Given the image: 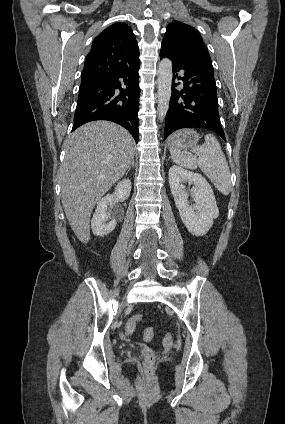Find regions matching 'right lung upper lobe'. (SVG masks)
I'll return each mask as SVG.
<instances>
[{
  "label": "right lung upper lobe",
  "instance_id": "obj_1",
  "mask_svg": "<svg viewBox=\"0 0 285 424\" xmlns=\"http://www.w3.org/2000/svg\"><path fill=\"white\" fill-rule=\"evenodd\" d=\"M140 62L133 31L124 23H115L98 35L88 53L81 82L123 71Z\"/></svg>",
  "mask_w": 285,
  "mask_h": 424
}]
</instances>
